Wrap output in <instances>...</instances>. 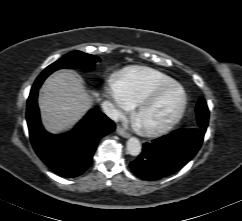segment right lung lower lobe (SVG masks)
Listing matches in <instances>:
<instances>
[{
  "label": "right lung lower lobe",
  "instance_id": "obj_1",
  "mask_svg": "<svg viewBox=\"0 0 242 221\" xmlns=\"http://www.w3.org/2000/svg\"><path fill=\"white\" fill-rule=\"evenodd\" d=\"M41 84L34 83L27 101L26 119L32 146L55 173L66 178L77 177L90 167L99 139L113 132L115 124L105 114L90 110L67 134L52 135L46 132L37 106Z\"/></svg>",
  "mask_w": 242,
  "mask_h": 221
}]
</instances>
